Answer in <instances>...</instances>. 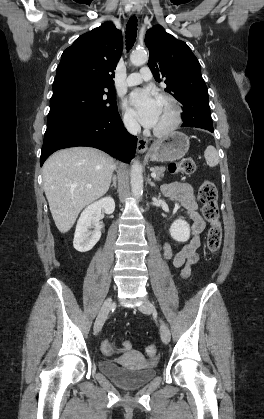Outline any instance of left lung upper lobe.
I'll return each mask as SVG.
<instances>
[{"instance_id": "1", "label": "left lung upper lobe", "mask_w": 264, "mask_h": 419, "mask_svg": "<svg viewBox=\"0 0 264 419\" xmlns=\"http://www.w3.org/2000/svg\"><path fill=\"white\" fill-rule=\"evenodd\" d=\"M145 44L150 53L148 66L155 80L164 79L165 91L183 105L182 109L208 101L200 63L185 42L156 25L147 31Z\"/></svg>"}]
</instances>
